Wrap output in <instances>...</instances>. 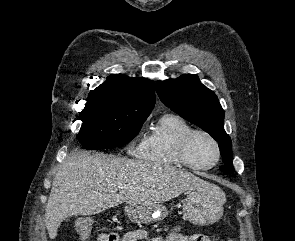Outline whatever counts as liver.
Listing matches in <instances>:
<instances>
[{
  "mask_svg": "<svg viewBox=\"0 0 295 241\" xmlns=\"http://www.w3.org/2000/svg\"><path fill=\"white\" fill-rule=\"evenodd\" d=\"M119 184L126 188H118ZM207 184L167 164L71 153L57 170L46 205L49 238L57 236L59 226L70 216L94 215L122 203L159 204Z\"/></svg>",
  "mask_w": 295,
  "mask_h": 241,
  "instance_id": "obj_1",
  "label": "liver"
}]
</instances>
